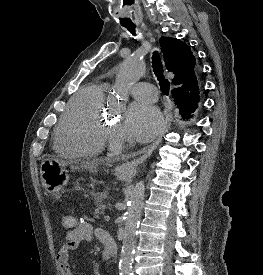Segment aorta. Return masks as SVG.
I'll return each instance as SVG.
<instances>
[{"label": "aorta", "mask_w": 263, "mask_h": 275, "mask_svg": "<svg viewBox=\"0 0 263 275\" xmlns=\"http://www.w3.org/2000/svg\"><path fill=\"white\" fill-rule=\"evenodd\" d=\"M143 62L136 57L124 60L118 69L115 81V92L117 98H125L130 87L136 83L144 74ZM145 198L144 181H139L133 188L129 205L125 213V230L123 236L122 250L119 261L120 275H131L132 261L136 246V237L139 221Z\"/></svg>", "instance_id": "aorta-1"}]
</instances>
